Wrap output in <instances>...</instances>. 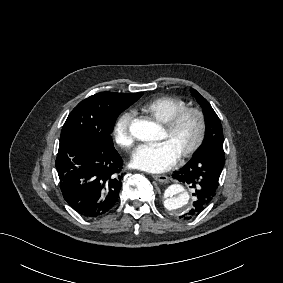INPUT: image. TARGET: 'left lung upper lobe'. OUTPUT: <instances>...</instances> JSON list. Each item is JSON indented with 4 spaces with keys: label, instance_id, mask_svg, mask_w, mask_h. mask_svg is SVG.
Instances as JSON below:
<instances>
[{
    "label": "left lung upper lobe",
    "instance_id": "left-lung-upper-lobe-1",
    "mask_svg": "<svg viewBox=\"0 0 283 283\" xmlns=\"http://www.w3.org/2000/svg\"><path fill=\"white\" fill-rule=\"evenodd\" d=\"M191 93L196 97V100L202 107L207 126L205 138L196 151L197 153L201 151L205 145L223 144V131L221 122L208 101L194 89H191Z\"/></svg>",
    "mask_w": 283,
    "mask_h": 283
}]
</instances>
